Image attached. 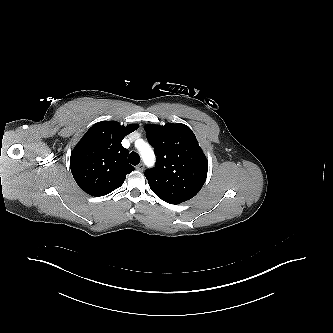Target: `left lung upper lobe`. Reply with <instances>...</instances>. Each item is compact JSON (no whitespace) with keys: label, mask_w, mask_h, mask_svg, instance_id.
Instances as JSON below:
<instances>
[{"label":"left lung upper lobe","mask_w":333,"mask_h":333,"mask_svg":"<svg viewBox=\"0 0 333 333\" xmlns=\"http://www.w3.org/2000/svg\"><path fill=\"white\" fill-rule=\"evenodd\" d=\"M147 138L157 156L146 170L151 190L163 201L179 204L193 198L207 177V159L195 134L185 124H147Z\"/></svg>","instance_id":"left-lung-upper-lobe-1"}]
</instances>
